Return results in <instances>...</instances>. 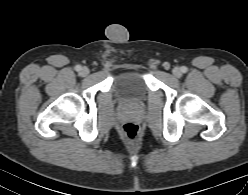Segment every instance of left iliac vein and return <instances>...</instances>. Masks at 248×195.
<instances>
[{
  "label": "left iliac vein",
  "instance_id": "obj_1",
  "mask_svg": "<svg viewBox=\"0 0 248 195\" xmlns=\"http://www.w3.org/2000/svg\"><path fill=\"white\" fill-rule=\"evenodd\" d=\"M172 72H173V75L177 78L182 76V71L179 67H175Z\"/></svg>",
  "mask_w": 248,
  "mask_h": 195
}]
</instances>
